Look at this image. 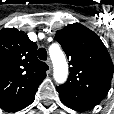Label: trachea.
Returning a JSON list of instances; mask_svg holds the SVG:
<instances>
[{"label":"trachea","instance_id":"1","mask_svg":"<svg viewBox=\"0 0 114 114\" xmlns=\"http://www.w3.org/2000/svg\"><path fill=\"white\" fill-rule=\"evenodd\" d=\"M37 55L40 60H46L47 59V51L45 48H39Z\"/></svg>","mask_w":114,"mask_h":114}]
</instances>
